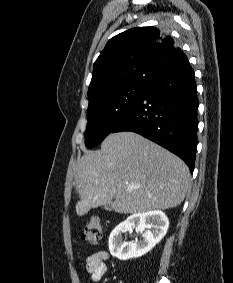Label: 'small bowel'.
<instances>
[{
	"label": "small bowel",
	"mask_w": 233,
	"mask_h": 283,
	"mask_svg": "<svg viewBox=\"0 0 233 283\" xmlns=\"http://www.w3.org/2000/svg\"><path fill=\"white\" fill-rule=\"evenodd\" d=\"M109 254L106 251L99 250L91 254L86 260V269L91 275L92 282L100 281L102 276L107 272L106 261Z\"/></svg>",
	"instance_id": "small-bowel-1"
}]
</instances>
